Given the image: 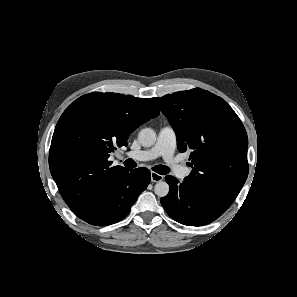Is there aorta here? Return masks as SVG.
Returning <instances> with one entry per match:
<instances>
[{
  "mask_svg": "<svg viewBox=\"0 0 297 297\" xmlns=\"http://www.w3.org/2000/svg\"><path fill=\"white\" fill-rule=\"evenodd\" d=\"M138 141L143 147H151L156 142V132L151 128H144L138 134ZM158 197H165L169 193V185L165 181H159L154 187Z\"/></svg>",
  "mask_w": 297,
  "mask_h": 297,
  "instance_id": "762f6f07",
  "label": "aorta"
}]
</instances>
